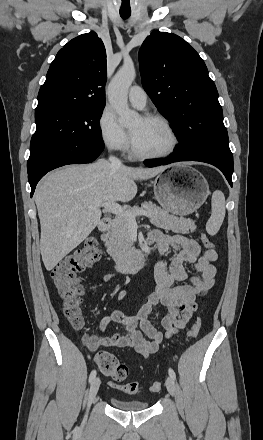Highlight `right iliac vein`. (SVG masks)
Returning a JSON list of instances; mask_svg holds the SVG:
<instances>
[{
	"label": "right iliac vein",
	"instance_id": "1",
	"mask_svg": "<svg viewBox=\"0 0 263 440\" xmlns=\"http://www.w3.org/2000/svg\"><path fill=\"white\" fill-rule=\"evenodd\" d=\"M100 383H101V381L98 377L92 381L90 389H89V393H88V404L89 405L93 402L94 398L96 397L98 390H99V387H100ZM86 419L87 418H85V421H86Z\"/></svg>",
	"mask_w": 263,
	"mask_h": 440
}]
</instances>
